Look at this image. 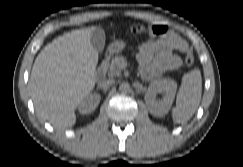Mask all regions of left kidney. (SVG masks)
Returning a JSON list of instances; mask_svg holds the SVG:
<instances>
[{"instance_id":"1","label":"left kidney","mask_w":243,"mask_h":167,"mask_svg":"<svg viewBox=\"0 0 243 167\" xmlns=\"http://www.w3.org/2000/svg\"><path fill=\"white\" fill-rule=\"evenodd\" d=\"M177 89V84L173 80H160L152 82L145 94V102L149 112L154 115L161 117L168 113ZM157 92L162 93V100L155 102L154 97Z\"/></svg>"}]
</instances>
